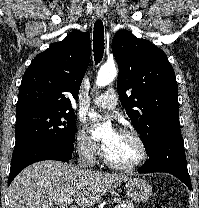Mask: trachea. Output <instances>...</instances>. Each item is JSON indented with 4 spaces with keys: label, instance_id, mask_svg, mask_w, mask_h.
<instances>
[{
    "label": "trachea",
    "instance_id": "1",
    "mask_svg": "<svg viewBox=\"0 0 199 208\" xmlns=\"http://www.w3.org/2000/svg\"><path fill=\"white\" fill-rule=\"evenodd\" d=\"M93 52L95 63H100L104 54V27L100 19H98L94 24Z\"/></svg>",
    "mask_w": 199,
    "mask_h": 208
}]
</instances>
